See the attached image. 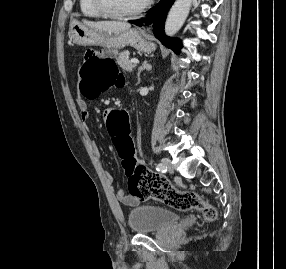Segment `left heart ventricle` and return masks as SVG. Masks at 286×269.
<instances>
[{"instance_id": "left-heart-ventricle-1", "label": "left heart ventricle", "mask_w": 286, "mask_h": 269, "mask_svg": "<svg viewBox=\"0 0 286 269\" xmlns=\"http://www.w3.org/2000/svg\"><path fill=\"white\" fill-rule=\"evenodd\" d=\"M104 1L111 10L121 13L133 11L147 2V0H104Z\"/></svg>"}]
</instances>
